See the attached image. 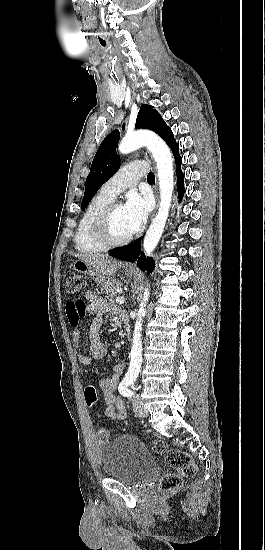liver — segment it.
<instances>
[{
    "mask_svg": "<svg viewBox=\"0 0 265 550\" xmlns=\"http://www.w3.org/2000/svg\"><path fill=\"white\" fill-rule=\"evenodd\" d=\"M78 257L103 276H112L123 266L121 261L113 260L104 254H85Z\"/></svg>",
    "mask_w": 265,
    "mask_h": 550,
    "instance_id": "6515ba94",
    "label": "liver"
}]
</instances>
